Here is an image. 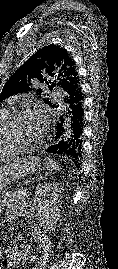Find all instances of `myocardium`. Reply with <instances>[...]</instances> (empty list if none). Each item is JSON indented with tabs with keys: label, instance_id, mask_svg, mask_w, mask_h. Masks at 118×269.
<instances>
[{
	"label": "myocardium",
	"instance_id": "f54148a6",
	"mask_svg": "<svg viewBox=\"0 0 118 269\" xmlns=\"http://www.w3.org/2000/svg\"><path fill=\"white\" fill-rule=\"evenodd\" d=\"M29 112V109L27 108H21L14 110L9 113L7 118L4 120L2 126H1V138L3 139L5 145L10 146V147H16V148H33L37 146L41 141H34V142H29V141H24L21 139L16 138L13 135V127L16 121L25 115L26 113Z\"/></svg>",
	"mask_w": 118,
	"mask_h": 269
}]
</instances>
